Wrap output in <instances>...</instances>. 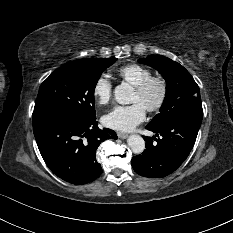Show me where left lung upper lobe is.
Masks as SVG:
<instances>
[{"label": "left lung upper lobe", "instance_id": "left-lung-upper-lobe-1", "mask_svg": "<svg viewBox=\"0 0 233 233\" xmlns=\"http://www.w3.org/2000/svg\"><path fill=\"white\" fill-rule=\"evenodd\" d=\"M138 61L158 70L166 80V96L160 113L148 126L158 128L191 109L202 108L198 85L179 63L157 55Z\"/></svg>", "mask_w": 233, "mask_h": 233}]
</instances>
